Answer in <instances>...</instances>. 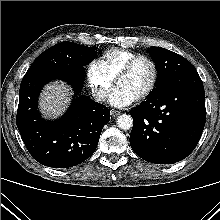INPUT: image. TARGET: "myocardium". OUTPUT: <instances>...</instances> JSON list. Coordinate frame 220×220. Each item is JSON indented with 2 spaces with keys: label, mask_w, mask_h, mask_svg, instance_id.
Segmentation results:
<instances>
[{
  "label": "myocardium",
  "mask_w": 220,
  "mask_h": 220,
  "mask_svg": "<svg viewBox=\"0 0 220 220\" xmlns=\"http://www.w3.org/2000/svg\"><path fill=\"white\" fill-rule=\"evenodd\" d=\"M141 60H145L150 64L152 68V78L147 88L136 98V100L138 101L144 100L148 96H150L157 85L159 70L155 60L147 55H136L122 67V69L119 71V73L116 76V83H117L121 77L128 74L134 68V66Z\"/></svg>",
  "instance_id": "1"
}]
</instances>
